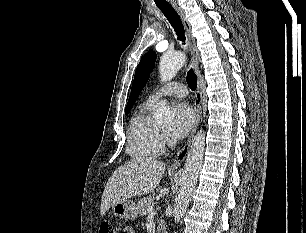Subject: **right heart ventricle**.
<instances>
[{"label": "right heart ventricle", "mask_w": 306, "mask_h": 233, "mask_svg": "<svg viewBox=\"0 0 306 233\" xmlns=\"http://www.w3.org/2000/svg\"><path fill=\"white\" fill-rule=\"evenodd\" d=\"M152 107L143 102L129 123L126 151L132 159L150 160L162 152L161 133L151 122Z\"/></svg>", "instance_id": "obj_1"}]
</instances>
